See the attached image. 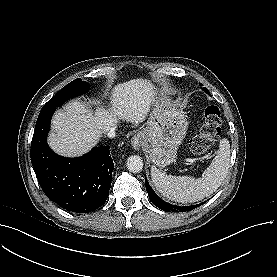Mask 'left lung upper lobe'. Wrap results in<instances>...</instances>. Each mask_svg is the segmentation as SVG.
Masks as SVG:
<instances>
[{
  "label": "left lung upper lobe",
  "mask_w": 277,
  "mask_h": 277,
  "mask_svg": "<svg viewBox=\"0 0 277 277\" xmlns=\"http://www.w3.org/2000/svg\"><path fill=\"white\" fill-rule=\"evenodd\" d=\"M202 90H204L208 95H210L209 91L205 87L202 88Z\"/></svg>",
  "instance_id": "5c2ea615"
}]
</instances>
